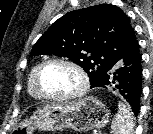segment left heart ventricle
I'll use <instances>...</instances> for the list:
<instances>
[{"label": "left heart ventricle", "mask_w": 153, "mask_h": 134, "mask_svg": "<svg viewBox=\"0 0 153 134\" xmlns=\"http://www.w3.org/2000/svg\"><path fill=\"white\" fill-rule=\"evenodd\" d=\"M42 90L50 95H66L76 91L80 85L77 73L62 64H51L41 75Z\"/></svg>", "instance_id": "b2bd125f"}]
</instances>
